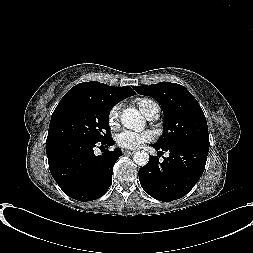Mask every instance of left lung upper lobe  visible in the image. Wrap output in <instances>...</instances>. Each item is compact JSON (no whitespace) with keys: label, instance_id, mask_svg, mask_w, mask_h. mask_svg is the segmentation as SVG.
Segmentation results:
<instances>
[{"label":"left lung upper lobe","instance_id":"5c2ea615","mask_svg":"<svg viewBox=\"0 0 253 253\" xmlns=\"http://www.w3.org/2000/svg\"><path fill=\"white\" fill-rule=\"evenodd\" d=\"M133 89L138 94L154 98L163 109L164 131L155 146L162 148L183 141L210 146L205 115L197 100L184 86L160 82L135 86Z\"/></svg>","mask_w":253,"mask_h":253}]
</instances>
